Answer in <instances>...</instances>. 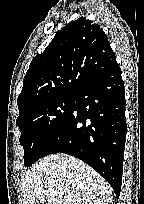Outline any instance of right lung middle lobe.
Segmentation results:
<instances>
[{"instance_id":"dd1d6c3e","label":"right lung middle lobe","mask_w":144,"mask_h":204,"mask_svg":"<svg viewBox=\"0 0 144 204\" xmlns=\"http://www.w3.org/2000/svg\"><path fill=\"white\" fill-rule=\"evenodd\" d=\"M75 96H57L19 115L16 124L21 131L24 165L31 166L43 157L45 147L72 112Z\"/></svg>"}]
</instances>
